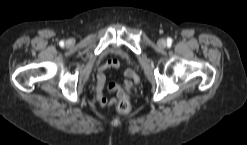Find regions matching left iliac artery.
Returning a JSON list of instances; mask_svg holds the SVG:
<instances>
[{"label": "left iliac artery", "instance_id": "obj_1", "mask_svg": "<svg viewBox=\"0 0 247 145\" xmlns=\"http://www.w3.org/2000/svg\"><path fill=\"white\" fill-rule=\"evenodd\" d=\"M167 43H168V45H171L172 44V39L171 38H168L167 39Z\"/></svg>", "mask_w": 247, "mask_h": 145}]
</instances>
